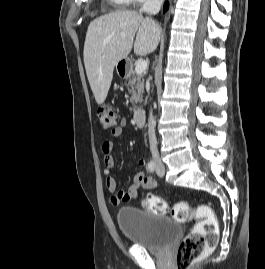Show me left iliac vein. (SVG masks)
Listing matches in <instances>:
<instances>
[{
    "label": "left iliac vein",
    "instance_id": "obj_1",
    "mask_svg": "<svg viewBox=\"0 0 265 269\" xmlns=\"http://www.w3.org/2000/svg\"><path fill=\"white\" fill-rule=\"evenodd\" d=\"M156 173L159 177H163L165 173V167L160 159L156 160Z\"/></svg>",
    "mask_w": 265,
    "mask_h": 269
}]
</instances>
